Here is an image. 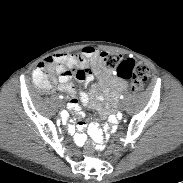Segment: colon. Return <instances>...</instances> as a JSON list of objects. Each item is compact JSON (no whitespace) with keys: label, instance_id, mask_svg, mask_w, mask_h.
Wrapping results in <instances>:
<instances>
[{"label":"colon","instance_id":"5ec220e1","mask_svg":"<svg viewBox=\"0 0 183 183\" xmlns=\"http://www.w3.org/2000/svg\"><path fill=\"white\" fill-rule=\"evenodd\" d=\"M77 58H80V56L77 55ZM99 63L102 68L114 71L120 78L130 80L131 89L134 92L142 91L149 80V67L146 64L138 63L131 58H123L116 53L102 52L99 56ZM50 71V65L44 61L39 63L33 72L35 84L43 90H49L50 88ZM91 144L92 143H87L84 146V151L86 152L85 158L89 162L94 161L96 158Z\"/></svg>","mask_w":183,"mask_h":183}]
</instances>
